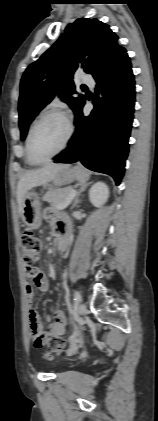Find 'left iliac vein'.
I'll use <instances>...</instances> for the list:
<instances>
[{
	"mask_svg": "<svg viewBox=\"0 0 158 421\" xmlns=\"http://www.w3.org/2000/svg\"><path fill=\"white\" fill-rule=\"evenodd\" d=\"M86 311V305L84 303H80L78 305V314L83 315Z\"/></svg>",
	"mask_w": 158,
	"mask_h": 421,
	"instance_id": "1",
	"label": "left iliac vein"
}]
</instances>
